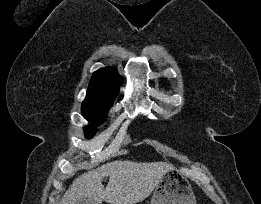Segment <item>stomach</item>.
Instances as JSON below:
<instances>
[{
    "mask_svg": "<svg viewBox=\"0 0 261 204\" xmlns=\"http://www.w3.org/2000/svg\"><path fill=\"white\" fill-rule=\"evenodd\" d=\"M151 204H196V199L188 179L172 169L155 187Z\"/></svg>",
    "mask_w": 261,
    "mask_h": 204,
    "instance_id": "stomach-1",
    "label": "stomach"
}]
</instances>
